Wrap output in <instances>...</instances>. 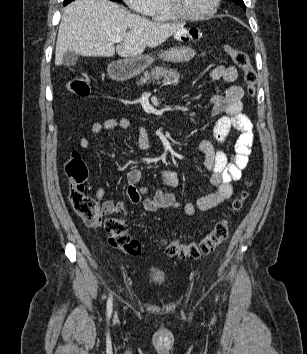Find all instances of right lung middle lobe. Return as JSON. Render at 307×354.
<instances>
[{
    "mask_svg": "<svg viewBox=\"0 0 307 354\" xmlns=\"http://www.w3.org/2000/svg\"><path fill=\"white\" fill-rule=\"evenodd\" d=\"M73 0H64V5H67L68 3H70ZM111 1H116V2H120L121 0H111Z\"/></svg>",
    "mask_w": 307,
    "mask_h": 354,
    "instance_id": "obj_1",
    "label": "right lung middle lobe"
}]
</instances>
